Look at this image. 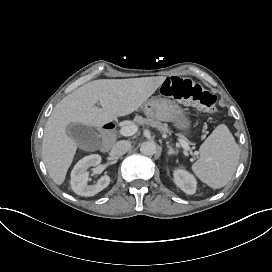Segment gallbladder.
Returning <instances> with one entry per match:
<instances>
[{"mask_svg":"<svg viewBox=\"0 0 272 272\" xmlns=\"http://www.w3.org/2000/svg\"><path fill=\"white\" fill-rule=\"evenodd\" d=\"M67 132L81 149H96L101 144L99 135L90 126L72 123L68 125Z\"/></svg>","mask_w":272,"mask_h":272,"instance_id":"gallbladder-1","label":"gallbladder"}]
</instances>
